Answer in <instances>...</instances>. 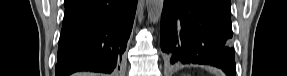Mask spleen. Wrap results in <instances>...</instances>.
I'll list each match as a JSON object with an SVG mask.
<instances>
[{"instance_id": "spleen-1", "label": "spleen", "mask_w": 287, "mask_h": 76, "mask_svg": "<svg viewBox=\"0 0 287 76\" xmlns=\"http://www.w3.org/2000/svg\"><path fill=\"white\" fill-rule=\"evenodd\" d=\"M212 71L216 76H222V74H223L221 71H219L217 69H213Z\"/></svg>"}]
</instances>
